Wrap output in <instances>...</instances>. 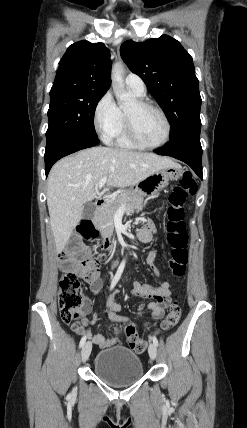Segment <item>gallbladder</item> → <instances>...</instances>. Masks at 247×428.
<instances>
[{
  "label": "gallbladder",
  "mask_w": 247,
  "mask_h": 428,
  "mask_svg": "<svg viewBox=\"0 0 247 428\" xmlns=\"http://www.w3.org/2000/svg\"><path fill=\"white\" fill-rule=\"evenodd\" d=\"M95 214V205L92 202H87L83 206V218H92Z\"/></svg>",
  "instance_id": "bac80fb5"
}]
</instances>
